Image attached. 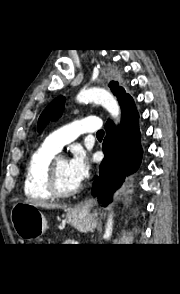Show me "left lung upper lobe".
<instances>
[{"label": "left lung upper lobe", "mask_w": 180, "mask_h": 294, "mask_svg": "<svg viewBox=\"0 0 180 294\" xmlns=\"http://www.w3.org/2000/svg\"><path fill=\"white\" fill-rule=\"evenodd\" d=\"M114 95L117 96L119 104L122 105L127 99L130 98L122 87L118 86V82L111 81L109 84ZM65 98L63 96L54 99L42 112L38 121V131L40 132L50 121L56 120L61 116L64 109Z\"/></svg>", "instance_id": "left-lung-upper-lobe-1"}]
</instances>
